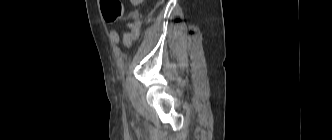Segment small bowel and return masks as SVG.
I'll list each match as a JSON object with an SVG mask.
<instances>
[{"mask_svg":"<svg viewBox=\"0 0 332 140\" xmlns=\"http://www.w3.org/2000/svg\"><path fill=\"white\" fill-rule=\"evenodd\" d=\"M144 0H130L134 6L140 5ZM130 18L133 21L128 22L122 28L121 31L113 29L111 32V41L114 44H118L120 39L122 40L125 47L130 48L132 44L138 39L140 34V24L136 20V14L131 13Z\"/></svg>","mask_w":332,"mask_h":140,"instance_id":"small-bowel-1","label":"small bowel"}]
</instances>
